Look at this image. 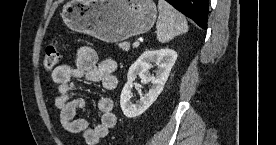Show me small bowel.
<instances>
[{"mask_svg":"<svg viewBox=\"0 0 276 145\" xmlns=\"http://www.w3.org/2000/svg\"><path fill=\"white\" fill-rule=\"evenodd\" d=\"M115 69V60L106 58L98 61L96 51L83 46L77 50L74 66L59 65L51 73V78L58 87L55 105L60 112L61 125L70 133L82 134L88 145H98L115 126L114 102L109 96H101L97 101L101 113L100 121L90 126L86 119L76 117L77 110L83 109L86 102L84 98L76 96L73 80L86 78L91 82L100 83L106 90H113L117 84Z\"/></svg>","mask_w":276,"mask_h":145,"instance_id":"c3829d8e","label":"small bowel"}]
</instances>
